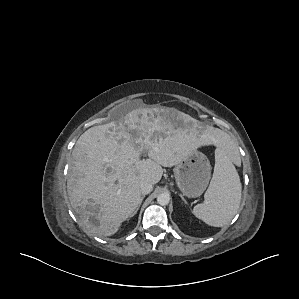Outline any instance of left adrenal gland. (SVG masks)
Returning <instances> with one entry per match:
<instances>
[{"label": "left adrenal gland", "mask_w": 299, "mask_h": 299, "mask_svg": "<svg viewBox=\"0 0 299 299\" xmlns=\"http://www.w3.org/2000/svg\"><path fill=\"white\" fill-rule=\"evenodd\" d=\"M179 196L181 197V199L184 201L185 204H187V201L185 200V198L183 197L182 194H179Z\"/></svg>", "instance_id": "1"}]
</instances>
